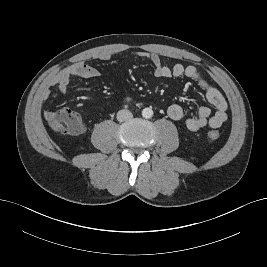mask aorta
Segmentation results:
<instances>
[{"instance_id": "1", "label": "aorta", "mask_w": 267, "mask_h": 267, "mask_svg": "<svg viewBox=\"0 0 267 267\" xmlns=\"http://www.w3.org/2000/svg\"><path fill=\"white\" fill-rule=\"evenodd\" d=\"M143 118L149 119L153 116V110L151 108H144L142 110Z\"/></svg>"}]
</instances>
